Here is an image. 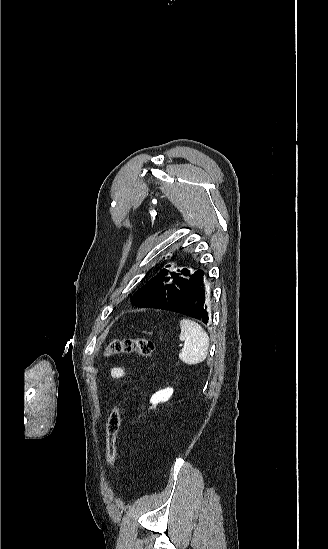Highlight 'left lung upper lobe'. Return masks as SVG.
Here are the masks:
<instances>
[{"label": "left lung upper lobe", "instance_id": "1", "mask_svg": "<svg viewBox=\"0 0 328 549\" xmlns=\"http://www.w3.org/2000/svg\"><path fill=\"white\" fill-rule=\"evenodd\" d=\"M169 267L170 265H167L160 270L144 287L135 292L132 300L136 305L146 307L170 299L181 279L190 274L189 269L173 272Z\"/></svg>", "mask_w": 328, "mask_h": 549}]
</instances>
